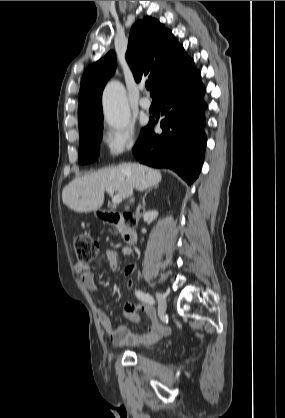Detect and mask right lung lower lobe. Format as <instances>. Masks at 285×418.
Listing matches in <instances>:
<instances>
[{
  "instance_id": "98d812e1",
  "label": "right lung lower lobe",
  "mask_w": 285,
  "mask_h": 418,
  "mask_svg": "<svg viewBox=\"0 0 285 418\" xmlns=\"http://www.w3.org/2000/svg\"><path fill=\"white\" fill-rule=\"evenodd\" d=\"M201 74L195 69L168 87L157 99L163 130L155 134V120L150 119L133 148L140 163L155 168H170L189 185L199 176L204 162L206 103Z\"/></svg>"
}]
</instances>
